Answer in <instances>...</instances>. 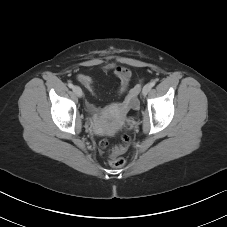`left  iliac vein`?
I'll return each mask as SVG.
<instances>
[{"label": "left iliac vein", "instance_id": "left-iliac-vein-1", "mask_svg": "<svg viewBox=\"0 0 227 227\" xmlns=\"http://www.w3.org/2000/svg\"><path fill=\"white\" fill-rule=\"evenodd\" d=\"M151 90V85L150 84H146L143 89H142V94L143 96H146Z\"/></svg>", "mask_w": 227, "mask_h": 227}]
</instances>
